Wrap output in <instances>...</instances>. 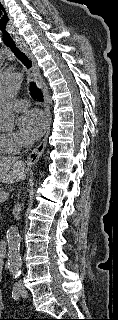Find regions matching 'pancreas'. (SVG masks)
<instances>
[{"label":"pancreas","instance_id":"1","mask_svg":"<svg viewBox=\"0 0 118 320\" xmlns=\"http://www.w3.org/2000/svg\"><path fill=\"white\" fill-rule=\"evenodd\" d=\"M4 191V189L3 188H0V192H3Z\"/></svg>","mask_w":118,"mask_h":320}]
</instances>
